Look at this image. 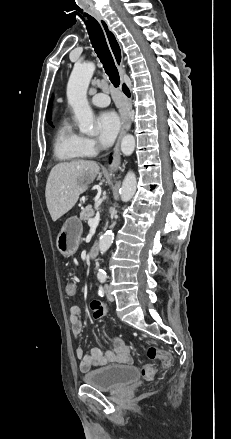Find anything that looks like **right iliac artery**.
Here are the masks:
<instances>
[{"instance_id": "right-iliac-artery-1", "label": "right iliac artery", "mask_w": 231, "mask_h": 439, "mask_svg": "<svg viewBox=\"0 0 231 439\" xmlns=\"http://www.w3.org/2000/svg\"><path fill=\"white\" fill-rule=\"evenodd\" d=\"M99 295L103 296L104 295V289L102 286L99 287Z\"/></svg>"}]
</instances>
